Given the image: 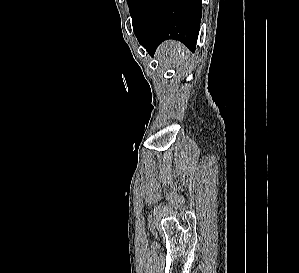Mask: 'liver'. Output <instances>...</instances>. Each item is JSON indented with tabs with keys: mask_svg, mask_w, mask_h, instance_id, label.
Returning a JSON list of instances; mask_svg holds the SVG:
<instances>
[{
	"mask_svg": "<svg viewBox=\"0 0 299 273\" xmlns=\"http://www.w3.org/2000/svg\"><path fill=\"white\" fill-rule=\"evenodd\" d=\"M157 58L164 64H173L176 68L187 67L190 52L178 41H167L157 50Z\"/></svg>",
	"mask_w": 299,
	"mask_h": 273,
	"instance_id": "1",
	"label": "liver"
}]
</instances>
